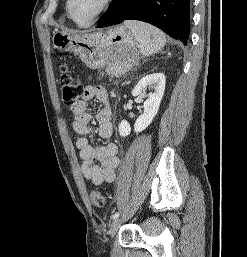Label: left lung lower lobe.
I'll return each mask as SVG.
<instances>
[{"mask_svg":"<svg viewBox=\"0 0 247 257\" xmlns=\"http://www.w3.org/2000/svg\"><path fill=\"white\" fill-rule=\"evenodd\" d=\"M124 20L150 23L186 45L190 33V0H113L96 27Z\"/></svg>","mask_w":247,"mask_h":257,"instance_id":"left-lung-lower-lobe-1","label":"left lung lower lobe"}]
</instances>
